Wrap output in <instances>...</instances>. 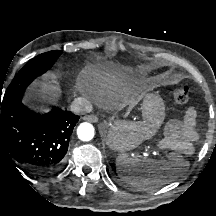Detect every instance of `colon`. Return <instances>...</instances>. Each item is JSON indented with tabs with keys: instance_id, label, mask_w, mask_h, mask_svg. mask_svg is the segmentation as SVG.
Returning a JSON list of instances; mask_svg holds the SVG:
<instances>
[{
	"instance_id": "obj_1",
	"label": "colon",
	"mask_w": 216,
	"mask_h": 216,
	"mask_svg": "<svg viewBox=\"0 0 216 216\" xmlns=\"http://www.w3.org/2000/svg\"><path fill=\"white\" fill-rule=\"evenodd\" d=\"M190 97V89L188 86H180L174 91V99L178 103H186L188 102Z\"/></svg>"
}]
</instances>
